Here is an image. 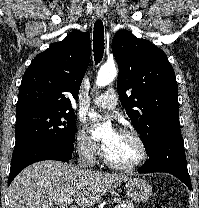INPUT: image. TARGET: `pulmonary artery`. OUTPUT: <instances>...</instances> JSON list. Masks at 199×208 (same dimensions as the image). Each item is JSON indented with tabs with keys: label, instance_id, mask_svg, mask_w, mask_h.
Here are the masks:
<instances>
[{
	"label": "pulmonary artery",
	"instance_id": "1",
	"mask_svg": "<svg viewBox=\"0 0 199 208\" xmlns=\"http://www.w3.org/2000/svg\"><path fill=\"white\" fill-rule=\"evenodd\" d=\"M118 95L114 89H108L104 93L92 99L91 103L97 107L112 110L117 106Z\"/></svg>",
	"mask_w": 199,
	"mask_h": 208
}]
</instances>
